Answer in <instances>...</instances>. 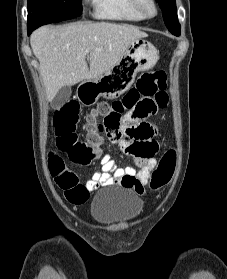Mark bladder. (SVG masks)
<instances>
[{
    "label": "bladder",
    "instance_id": "bladder-1",
    "mask_svg": "<svg viewBox=\"0 0 227 279\" xmlns=\"http://www.w3.org/2000/svg\"><path fill=\"white\" fill-rule=\"evenodd\" d=\"M140 198L126 188L102 190L91 207L93 220L104 226H121L133 221L141 212Z\"/></svg>",
    "mask_w": 227,
    "mask_h": 279
}]
</instances>
